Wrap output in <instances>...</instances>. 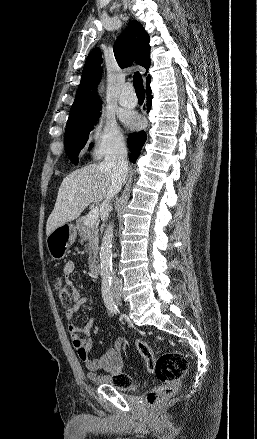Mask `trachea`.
I'll list each match as a JSON object with an SVG mask.
<instances>
[{
    "label": "trachea",
    "mask_w": 257,
    "mask_h": 439,
    "mask_svg": "<svg viewBox=\"0 0 257 439\" xmlns=\"http://www.w3.org/2000/svg\"><path fill=\"white\" fill-rule=\"evenodd\" d=\"M133 86L135 88L137 95H141V96L145 95L142 76L138 71L135 72V74L133 76Z\"/></svg>",
    "instance_id": "trachea-1"
}]
</instances>
